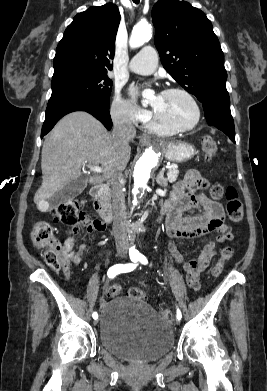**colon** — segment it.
I'll use <instances>...</instances> for the list:
<instances>
[{
	"instance_id": "obj_1",
	"label": "colon",
	"mask_w": 267,
	"mask_h": 391,
	"mask_svg": "<svg viewBox=\"0 0 267 391\" xmlns=\"http://www.w3.org/2000/svg\"><path fill=\"white\" fill-rule=\"evenodd\" d=\"M202 150L207 159L212 158L217 150L218 143L211 136H204L202 138ZM212 197L219 199L222 196L226 199V210L228 217L232 222H240L243 219L244 211L243 205L239 198L237 190L230 186L225 190L220 185L213 186L211 190ZM51 214L55 222L62 223L68 226H76L84 221L90 220L81 212L80 202L76 199H68L61 203L52 206ZM31 240L33 245L43 252L46 263L54 270H60L64 266V259L60 252V245L55 237V233L51 225L47 222H37L31 231ZM233 250L231 247H224L220 252V258L213 267L212 274L218 276L224 267V264L231 259ZM121 288L117 284H113L108 288L109 297H117ZM129 296L144 299L145 292L143 289L133 287L129 290ZM161 318L171 323L173 320V313L169 309H163L160 312Z\"/></svg>"
}]
</instances>
